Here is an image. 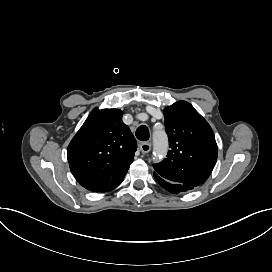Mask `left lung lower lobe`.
I'll return each instance as SVG.
<instances>
[{
    "instance_id": "left-lung-lower-lobe-1",
    "label": "left lung lower lobe",
    "mask_w": 272,
    "mask_h": 272,
    "mask_svg": "<svg viewBox=\"0 0 272 272\" xmlns=\"http://www.w3.org/2000/svg\"><path fill=\"white\" fill-rule=\"evenodd\" d=\"M155 180L159 183L160 186H162L164 189L169 191L170 193L173 194H178L180 192H186L188 190L194 189V187H190L184 184H179V183H173L171 181H168L161 176H159L157 173H153Z\"/></svg>"
}]
</instances>
